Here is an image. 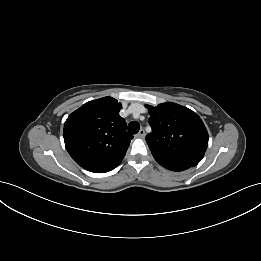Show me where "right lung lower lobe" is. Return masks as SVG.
Instances as JSON below:
<instances>
[{
  "mask_svg": "<svg viewBox=\"0 0 261 261\" xmlns=\"http://www.w3.org/2000/svg\"><path fill=\"white\" fill-rule=\"evenodd\" d=\"M121 161L122 160L114 163H107V164H89L82 167L90 172L105 173L116 168L121 163Z\"/></svg>",
  "mask_w": 261,
  "mask_h": 261,
  "instance_id": "98d812e1",
  "label": "right lung lower lobe"
}]
</instances>
